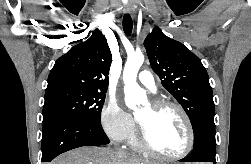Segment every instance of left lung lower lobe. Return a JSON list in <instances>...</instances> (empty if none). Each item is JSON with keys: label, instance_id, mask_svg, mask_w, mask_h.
I'll use <instances>...</instances> for the list:
<instances>
[{"label": "left lung lower lobe", "instance_id": "1", "mask_svg": "<svg viewBox=\"0 0 251 164\" xmlns=\"http://www.w3.org/2000/svg\"><path fill=\"white\" fill-rule=\"evenodd\" d=\"M215 150V132L202 130L198 135L194 136L193 151L189 158L183 162H212L216 164Z\"/></svg>", "mask_w": 251, "mask_h": 164}]
</instances>
